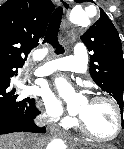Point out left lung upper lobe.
I'll return each instance as SVG.
<instances>
[{
    "instance_id": "obj_1",
    "label": "left lung upper lobe",
    "mask_w": 124,
    "mask_h": 149,
    "mask_svg": "<svg viewBox=\"0 0 124 149\" xmlns=\"http://www.w3.org/2000/svg\"><path fill=\"white\" fill-rule=\"evenodd\" d=\"M81 3L82 0H76ZM100 18L81 37L92 52L90 75L94 82L109 93L123 112L124 59L119 34L111 20L100 9ZM123 126V125H122Z\"/></svg>"
}]
</instances>
